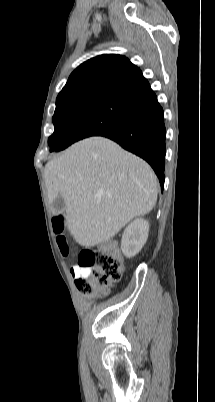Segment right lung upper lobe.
Wrapping results in <instances>:
<instances>
[{
  "mask_svg": "<svg viewBox=\"0 0 215 402\" xmlns=\"http://www.w3.org/2000/svg\"><path fill=\"white\" fill-rule=\"evenodd\" d=\"M107 93L143 104L156 97L141 70L125 56L103 54L78 66L57 99L69 95Z\"/></svg>",
  "mask_w": 215,
  "mask_h": 402,
  "instance_id": "1",
  "label": "right lung upper lobe"
}]
</instances>
